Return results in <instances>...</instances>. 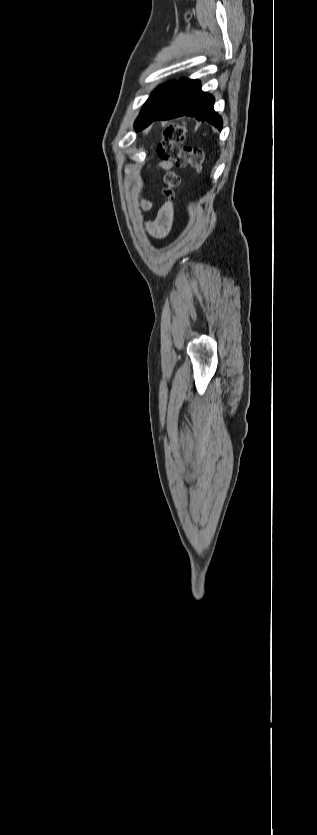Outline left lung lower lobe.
I'll return each mask as SVG.
<instances>
[{
    "label": "left lung lower lobe",
    "instance_id": "left-lung-lower-lobe-1",
    "mask_svg": "<svg viewBox=\"0 0 317 835\" xmlns=\"http://www.w3.org/2000/svg\"><path fill=\"white\" fill-rule=\"evenodd\" d=\"M213 105V96L201 90L199 81L182 79L175 84L169 98L162 107L154 116L143 123L140 130L156 120H169L183 116L209 122L221 130L223 127L222 118L214 111Z\"/></svg>",
    "mask_w": 317,
    "mask_h": 835
}]
</instances>
